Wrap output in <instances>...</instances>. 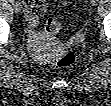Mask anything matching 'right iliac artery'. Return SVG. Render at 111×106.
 Returning a JSON list of instances; mask_svg holds the SVG:
<instances>
[{
	"label": "right iliac artery",
	"instance_id": "1",
	"mask_svg": "<svg viewBox=\"0 0 111 106\" xmlns=\"http://www.w3.org/2000/svg\"><path fill=\"white\" fill-rule=\"evenodd\" d=\"M9 2H10V3H12V4H14V3H15V1H14V0H10Z\"/></svg>",
	"mask_w": 111,
	"mask_h": 106
}]
</instances>
